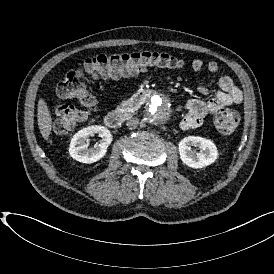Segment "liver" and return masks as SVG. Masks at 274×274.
<instances>
[{"instance_id": "6515ba94", "label": "liver", "mask_w": 274, "mask_h": 274, "mask_svg": "<svg viewBox=\"0 0 274 274\" xmlns=\"http://www.w3.org/2000/svg\"><path fill=\"white\" fill-rule=\"evenodd\" d=\"M38 127L45 142H48L53 129V117L45 98L41 97L38 101Z\"/></svg>"}]
</instances>
